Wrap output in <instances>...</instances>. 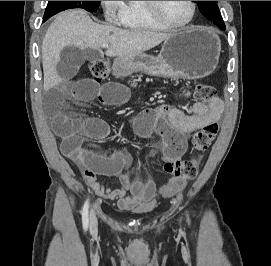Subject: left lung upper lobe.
Here are the masks:
<instances>
[{
  "mask_svg": "<svg viewBox=\"0 0 271 266\" xmlns=\"http://www.w3.org/2000/svg\"><path fill=\"white\" fill-rule=\"evenodd\" d=\"M199 7L200 12L220 29L225 28L221 13L219 11L217 1H195Z\"/></svg>",
  "mask_w": 271,
  "mask_h": 266,
  "instance_id": "obj_1",
  "label": "left lung upper lobe"
}]
</instances>
